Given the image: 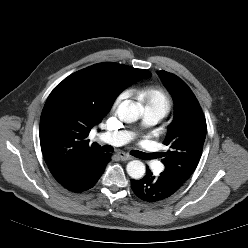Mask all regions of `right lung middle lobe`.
<instances>
[{"mask_svg":"<svg viewBox=\"0 0 248 248\" xmlns=\"http://www.w3.org/2000/svg\"><path fill=\"white\" fill-rule=\"evenodd\" d=\"M149 74L150 72L147 70L135 69L129 66H126L121 72L122 78L129 83H132Z\"/></svg>","mask_w":248,"mask_h":248,"instance_id":"1","label":"right lung middle lobe"}]
</instances>
